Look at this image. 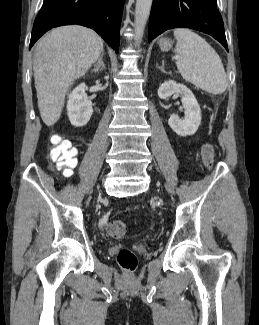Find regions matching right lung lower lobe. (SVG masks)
<instances>
[{
	"label": "right lung lower lobe",
	"mask_w": 259,
	"mask_h": 325,
	"mask_svg": "<svg viewBox=\"0 0 259 325\" xmlns=\"http://www.w3.org/2000/svg\"><path fill=\"white\" fill-rule=\"evenodd\" d=\"M125 0H44L32 29L29 49L54 27L79 24L94 29L116 52Z\"/></svg>",
	"instance_id": "right-lung-lower-lobe-1"
}]
</instances>
